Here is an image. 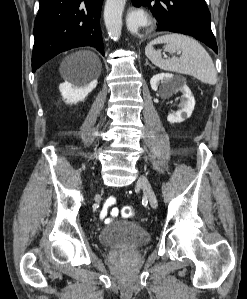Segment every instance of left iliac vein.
<instances>
[{
    "instance_id": "1",
    "label": "left iliac vein",
    "mask_w": 247,
    "mask_h": 299,
    "mask_svg": "<svg viewBox=\"0 0 247 299\" xmlns=\"http://www.w3.org/2000/svg\"><path fill=\"white\" fill-rule=\"evenodd\" d=\"M137 186L140 187L144 191L146 197L149 200L150 205L153 208H157L158 202H157L156 195L151 187L149 180L144 175H141L138 178Z\"/></svg>"
}]
</instances>
